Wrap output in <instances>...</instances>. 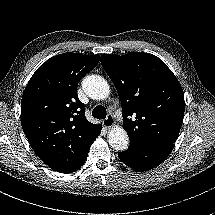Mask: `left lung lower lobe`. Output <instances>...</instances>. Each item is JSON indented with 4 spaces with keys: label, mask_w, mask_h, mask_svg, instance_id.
Segmentation results:
<instances>
[{
    "label": "left lung lower lobe",
    "mask_w": 215,
    "mask_h": 215,
    "mask_svg": "<svg viewBox=\"0 0 215 215\" xmlns=\"http://www.w3.org/2000/svg\"><path fill=\"white\" fill-rule=\"evenodd\" d=\"M174 144L132 143L126 151L119 152L120 160L136 171H148L161 164L171 153Z\"/></svg>",
    "instance_id": "obj_1"
}]
</instances>
